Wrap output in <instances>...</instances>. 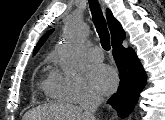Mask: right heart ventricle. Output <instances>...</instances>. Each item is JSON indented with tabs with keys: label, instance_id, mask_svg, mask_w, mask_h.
<instances>
[{
	"label": "right heart ventricle",
	"instance_id": "right-heart-ventricle-1",
	"mask_svg": "<svg viewBox=\"0 0 165 120\" xmlns=\"http://www.w3.org/2000/svg\"><path fill=\"white\" fill-rule=\"evenodd\" d=\"M42 88H43V90H44L47 94L53 96V94L51 93V90H50V86H49V81H48V80L45 81L44 83H42Z\"/></svg>",
	"mask_w": 165,
	"mask_h": 120
}]
</instances>
